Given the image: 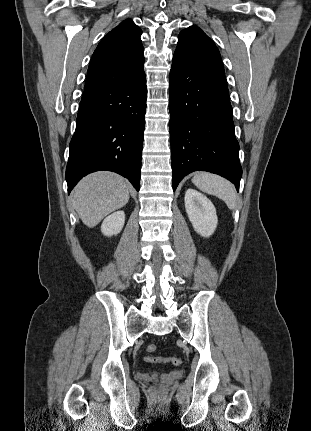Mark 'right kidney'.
<instances>
[{"instance_id":"obj_1","label":"right kidney","mask_w":311,"mask_h":431,"mask_svg":"<svg viewBox=\"0 0 311 431\" xmlns=\"http://www.w3.org/2000/svg\"><path fill=\"white\" fill-rule=\"evenodd\" d=\"M124 221V212H114L111 216H107L103 219L101 231H103L104 235H115V233L121 231Z\"/></svg>"}]
</instances>
